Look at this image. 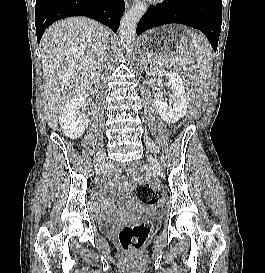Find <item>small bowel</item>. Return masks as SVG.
Here are the masks:
<instances>
[{
    "mask_svg": "<svg viewBox=\"0 0 265 273\" xmlns=\"http://www.w3.org/2000/svg\"><path fill=\"white\" fill-rule=\"evenodd\" d=\"M97 203H98V205H103L104 204V200H103L101 195L97 196Z\"/></svg>",
    "mask_w": 265,
    "mask_h": 273,
    "instance_id": "obj_1",
    "label": "small bowel"
}]
</instances>
